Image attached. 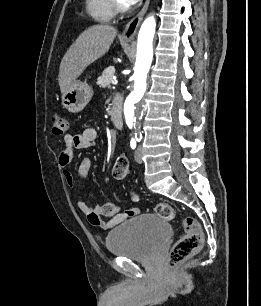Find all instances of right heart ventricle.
Segmentation results:
<instances>
[{
	"label": "right heart ventricle",
	"mask_w": 261,
	"mask_h": 306,
	"mask_svg": "<svg viewBox=\"0 0 261 306\" xmlns=\"http://www.w3.org/2000/svg\"><path fill=\"white\" fill-rule=\"evenodd\" d=\"M86 9L99 22H109L115 16L112 0H86Z\"/></svg>",
	"instance_id": "right-heart-ventricle-1"
}]
</instances>
